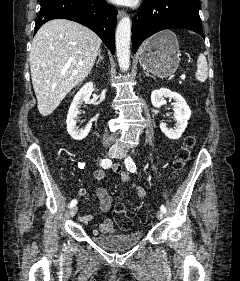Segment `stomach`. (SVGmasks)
<instances>
[{"mask_svg":"<svg viewBox=\"0 0 240 281\" xmlns=\"http://www.w3.org/2000/svg\"><path fill=\"white\" fill-rule=\"evenodd\" d=\"M138 55L144 69L160 78L169 77L180 62L177 37L169 30L157 33L142 45Z\"/></svg>","mask_w":240,"mask_h":281,"instance_id":"1","label":"stomach"}]
</instances>
